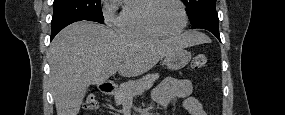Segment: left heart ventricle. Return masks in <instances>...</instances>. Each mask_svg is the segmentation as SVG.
Returning a JSON list of instances; mask_svg holds the SVG:
<instances>
[{"label": "left heart ventricle", "instance_id": "1", "mask_svg": "<svg viewBox=\"0 0 285 115\" xmlns=\"http://www.w3.org/2000/svg\"><path fill=\"white\" fill-rule=\"evenodd\" d=\"M153 18L156 24L167 32L177 31L183 22L179 5L171 0L160 2L153 13Z\"/></svg>", "mask_w": 285, "mask_h": 115}]
</instances>
